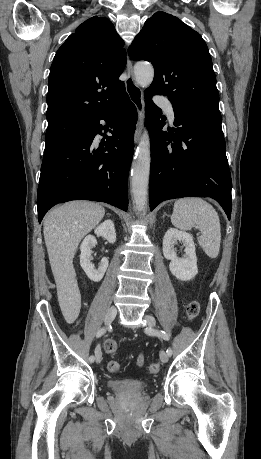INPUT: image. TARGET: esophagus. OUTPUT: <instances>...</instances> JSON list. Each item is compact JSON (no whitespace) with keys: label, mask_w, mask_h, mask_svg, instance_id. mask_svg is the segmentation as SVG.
Instances as JSON below:
<instances>
[{"label":"esophagus","mask_w":261,"mask_h":459,"mask_svg":"<svg viewBox=\"0 0 261 459\" xmlns=\"http://www.w3.org/2000/svg\"><path fill=\"white\" fill-rule=\"evenodd\" d=\"M126 91L129 95L130 100L133 102L137 109V124L135 130L134 141L137 143L140 139L142 128H143V121H144V100H143V92L141 87L136 83L133 73L132 62L129 58H127L126 64Z\"/></svg>","instance_id":"esophagus-1"}]
</instances>
